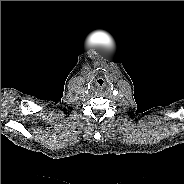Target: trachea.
<instances>
[{
  "instance_id": "3493384b",
  "label": "trachea",
  "mask_w": 184,
  "mask_h": 184,
  "mask_svg": "<svg viewBox=\"0 0 184 184\" xmlns=\"http://www.w3.org/2000/svg\"><path fill=\"white\" fill-rule=\"evenodd\" d=\"M105 84H106L105 81L102 78H99L94 82V87L96 89H102L105 86Z\"/></svg>"
}]
</instances>
